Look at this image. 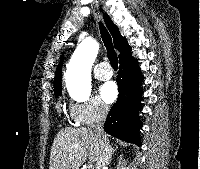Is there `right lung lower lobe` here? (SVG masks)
<instances>
[{
	"mask_svg": "<svg viewBox=\"0 0 200 169\" xmlns=\"http://www.w3.org/2000/svg\"><path fill=\"white\" fill-rule=\"evenodd\" d=\"M142 81L140 68L131 55L120 60L117 79L119 95L104 124L107 133L137 145H141L139 129L142 124L138 119V111L142 109Z\"/></svg>",
	"mask_w": 200,
	"mask_h": 169,
	"instance_id": "right-lung-lower-lobe-1",
	"label": "right lung lower lobe"
}]
</instances>
